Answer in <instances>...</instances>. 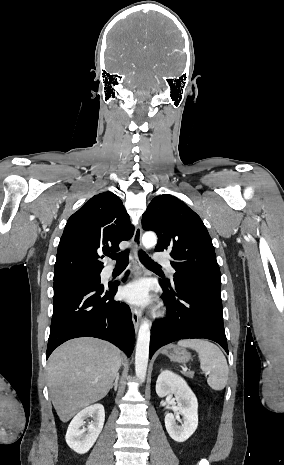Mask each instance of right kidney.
I'll list each match as a JSON object with an SVG mask.
<instances>
[{"instance_id":"ca27d5eb","label":"right kidney","mask_w":284,"mask_h":465,"mask_svg":"<svg viewBox=\"0 0 284 465\" xmlns=\"http://www.w3.org/2000/svg\"><path fill=\"white\" fill-rule=\"evenodd\" d=\"M92 417L93 423H89L87 429H81L85 419ZM105 421V413L103 405H90L83 411H80L74 419H72L66 433V443L75 453H87L97 441Z\"/></svg>"}]
</instances>
